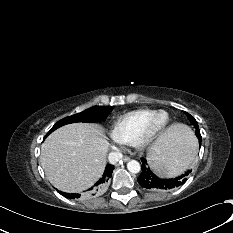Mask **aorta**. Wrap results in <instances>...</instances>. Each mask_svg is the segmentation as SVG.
Wrapping results in <instances>:
<instances>
[{
	"label": "aorta",
	"instance_id": "762f6f07",
	"mask_svg": "<svg viewBox=\"0 0 233 233\" xmlns=\"http://www.w3.org/2000/svg\"><path fill=\"white\" fill-rule=\"evenodd\" d=\"M127 169L129 172L131 173H139L140 170H141V166L139 164L138 161L136 160H130L128 163H127Z\"/></svg>",
	"mask_w": 233,
	"mask_h": 233
}]
</instances>
